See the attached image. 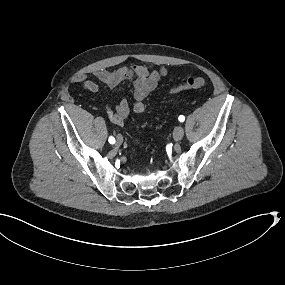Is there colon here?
Returning a JSON list of instances; mask_svg holds the SVG:
<instances>
[{"mask_svg":"<svg viewBox=\"0 0 285 285\" xmlns=\"http://www.w3.org/2000/svg\"><path fill=\"white\" fill-rule=\"evenodd\" d=\"M206 85V80L203 77H189L182 83L170 88V93H179L183 90L199 89Z\"/></svg>","mask_w":285,"mask_h":285,"instance_id":"5ec220e1","label":"colon"}]
</instances>
